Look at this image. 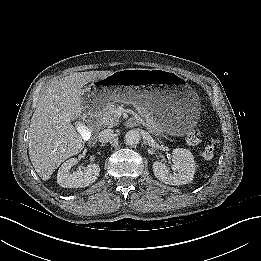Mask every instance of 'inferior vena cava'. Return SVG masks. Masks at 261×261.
Masks as SVG:
<instances>
[{
  "instance_id": "1",
  "label": "inferior vena cava",
  "mask_w": 261,
  "mask_h": 261,
  "mask_svg": "<svg viewBox=\"0 0 261 261\" xmlns=\"http://www.w3.org/2000/svg\"><path fill=\"white\" fill-rule=\"evenodd\" d=\"M113 135L114 131L112 129H105L99 133L98 139L101 143H107L112 139Z\"/></svg>"
}]
</instances>
